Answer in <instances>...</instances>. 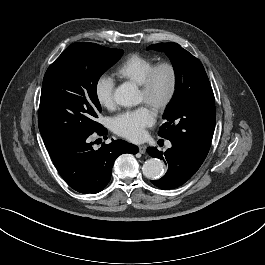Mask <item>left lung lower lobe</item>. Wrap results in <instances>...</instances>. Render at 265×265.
Instances as JSON below:
<instances>
[{
    "mask_svg": "<svg viewBox=\"0 0 265 265\" xmlns=\"http://www.w3.org/2000/svg\"><path fill=\"white\" fill-rule=\"evenodd\" d=\"M150 156L165 160L168 164L167 173L152 183L163 189L177 188L188 181L203 163L185 147L172 142V147L166 152L159 151L156 147L147 148ZM165 163V164H166Z\"/></svg>",
    "mask_w": 265,
    "mask_h": 265,
    "instance_id": "obj_1",
    "label": "left lung lower lobe"
}]
</instances>
